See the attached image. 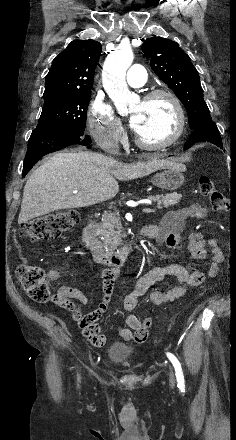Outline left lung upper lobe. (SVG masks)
<instances>
[{
    "instance_id": "5c2ea615",
    "label": "left lung upper lobe",
    "mask_w": 236,
    "mask_h": 440,
    "mask_svg": "<svg viewBox=\"0 0 236 440\" xmlns=\"http://www.w3.org/2000/svg\"><path fill=\"white\" fill-rule=\"evenodd\" d=\"M142 50L151 59L152 70L185 106L190 128L195 130L211 121L198 71L178 44L162 37H152L142 44Z\"/></svg>"
}]
</instances>
